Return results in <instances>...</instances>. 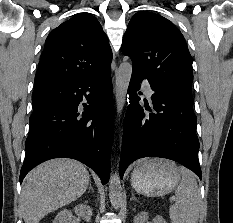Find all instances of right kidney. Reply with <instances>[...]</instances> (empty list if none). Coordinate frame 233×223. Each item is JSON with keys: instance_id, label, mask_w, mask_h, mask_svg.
<instances>
[{"instance_id": "1", "label": "right kidney", "mask_w": 233, "mask_h": 223, "mask_svg": "<svg viewBox=\"0 0 233 223\" xmlns=\"http://www.w3.org/2000/svg\"><path fill=\"white\" fill-rule=\"evenodd\" d=\"M74 211L77 215H81L85 221H90L93 213L92 207H90V205H86V203H79V205H75ZM73 217L74 215L71 209H62L60 213H57L53 223H70Z\"/></svg>"}]
</instances>
